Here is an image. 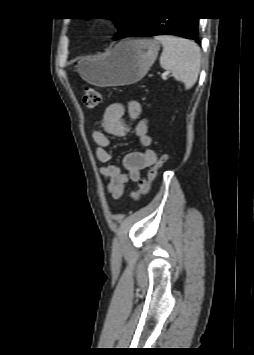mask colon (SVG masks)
I'll return each instance as SVG.
<instances>
[{
  "mask_svg": "<svg viewBox=\"0 0 254 355\" xmlns=\"http://www.w3.org/2000/svg\"><path fill=\"white\" fill-rule=\"evenodd\" d=\"M102 95L92 88H85L82 93L83 104L87 108H95L102 103ZM167 155L162 154L155 162L154 166L149 170L146 178H143L139 181L138 190L134 191L131 195L134 201L139 200L141 195L146 194L152 182L155 180L159 170L166 164Z\"/></svg>",
  "mask_w": 254,
  "mask_h": 355,
  "instance_id": "colon-1",
  "label": "colon"
}]
</instances>
